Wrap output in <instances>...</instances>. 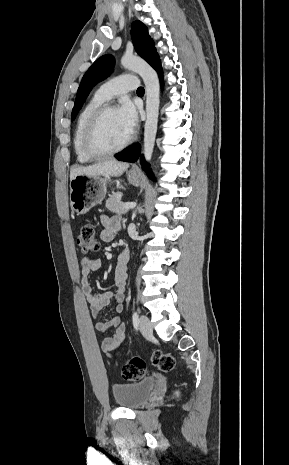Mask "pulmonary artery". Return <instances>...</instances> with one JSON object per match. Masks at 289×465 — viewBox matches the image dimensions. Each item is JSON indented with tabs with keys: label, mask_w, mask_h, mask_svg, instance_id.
Listing matches in <instances>:
<instances>
[{
	"label": "pulmonary artery",
	"mask_w": 289,
	"mask_h": 465,
	"mask_svg": "<svg viewBox=\"0 0 289 465\" xmlns=\"http://www.w3.org/2000/svg\"><path fill=\"white\" fill-rule=\"evenodd\" d=\"M138 85L139 82L136 76L130 74L119 75L102 84L97 91V95L106 101L114 96L136 90Z\"/></svg>",
	"instance_id": "obj_1"
}]
</instances>
